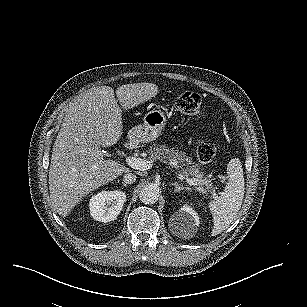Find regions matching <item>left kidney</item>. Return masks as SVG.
<instances>
[{
  "label": "left kidney",
  "instance_id": "5707ae66",
  "mask_svg": "<svg viewBox=\"0 0 307 307\" xmlns=\"http://www.w3.org/2000/svg\"><path fill=\"white\" fill-rule=\"evenodd\" d=\"M172 219L175 222L174 228H172L173 234L185 239L193 237L200 224L197 212L187 204L174 213Z\"/></svg>",
  "mask_w": 307,
  "mask_h": 307
}]
</instances>
